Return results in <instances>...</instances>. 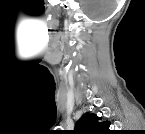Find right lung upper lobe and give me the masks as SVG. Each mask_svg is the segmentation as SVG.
I'll return each mask as SVG.
<instances>
[{"mask_svg": "<svg viewBox=\"0 0 145 134\" xmlns=\"http://www.w3.org/2000/svg\"><path fill=\"white\" fill-rule=\"evenodd\" d=\"M110 121H102L96 114L85 113L76 123V134H111Z\"/></svg>", "mask_w": 145, "mask_h": 134, "instance_id": "1", "label": "right lung upper lobe"}]
</instances>
